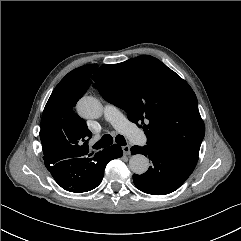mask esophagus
<instances>
[{"label": "esophagus", "instance_id": "obj_1", "mask_svg": "<svg viewBox=\"0 0 241 241\" xmlns=\"http://www.w3.org/2000/svg\"><path fill=\"white\" fill-rule=\"evenodd\" d=\"M122 150H123V153L125 154V155H130V146L129 145H125V146H123L122 147Z\"/></svg>", "mask_w": 241, "mask_h": 241}]
</instances>
